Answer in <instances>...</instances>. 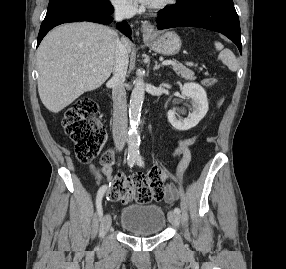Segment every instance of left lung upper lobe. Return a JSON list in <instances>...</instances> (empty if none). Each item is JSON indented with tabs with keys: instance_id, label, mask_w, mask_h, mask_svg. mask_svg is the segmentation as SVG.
I'll return each instance as SVG.
<instances>
[{
	"instance_id": "1",
	"label": "left lung upper lobe",
	"mask_w": 286,
	"mask_h": 269,
	"mask_svg": "<svg viewBox=\"0 0 286 269\" xmlns=\"http://www.w3.org/2000/svg\"><path fill=\"white\" fill-rule=\"evenodd\" d=\"M198 0H177L176 5L184 7Z\"/></svg>"
}]
</instances>
